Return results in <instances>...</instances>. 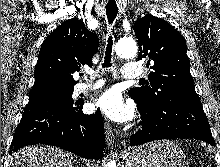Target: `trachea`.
Masks as SVG:
<instances>
[{
	"mask_svg": "<svg viewBox=\"0 0 220 167\" xmlns=\"http://www.w3.org/2000/svg\"><path fill=\"white\" fill-rule=\"evenodd\" d=\"M117 14H118V7L116 5H106V15H107L109 24L113 23V20L115 19ZM112 46H113L112 37L109 36L108 44H107L106 52H105V61L102 64L103 68L112 66L111 64Z\"/></svg>",
	"mask_w": 220,
	"mask_h": 167,
	"instance_id": "3493384b",
	"label": "trachea"
}]
</instances>
